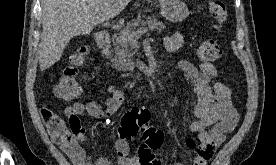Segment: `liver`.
Here are the masks:
<instances>
[{"instance_id": "6515ba94", "label": "liver", "mask_w": 276, "mask_h": 165, "mask_svg": "<svg viewBox=\"0 0 276 165\" xmlns=\"http://www.w3.org/2000/svg\"><path fill=\"white\" fill-rule=\"evenodd\" d=\"M130 1L43 0L40 70L58 62L73 37L89 34L96 25L116 17Z\"/></svg>"}]
</instances>
